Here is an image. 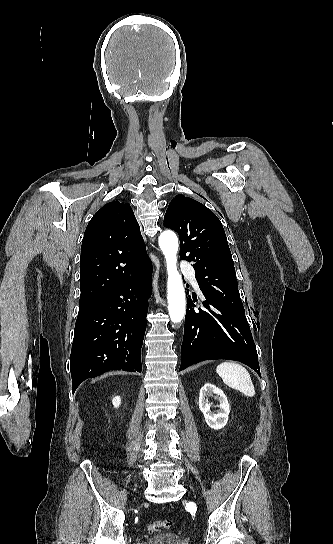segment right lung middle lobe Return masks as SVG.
I'll return each mask as SVG.
<instances>
[{
    "label": "right lung middle lobe",
    "instance_id": "right-lung-middle-lobe-1",
    "mask_svg": "<svg viewBox=\"0 0 333 544\" xmlns=\"http://www.w3.org/2000/svg\"><path fill=\"white\" fill-rule=\"evenodd\" d=\"M99 300H90V301H79V310L91 307L95 303H97Z\"/></svg>",
    "mask_w": 333,
    "mask_h": 544
}]
</instances>
